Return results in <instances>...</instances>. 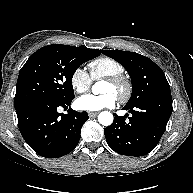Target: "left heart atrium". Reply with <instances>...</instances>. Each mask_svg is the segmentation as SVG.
I'll return each instance as SVG.
<instances>
[{
	"label": "left heart atrium",
	"mask_w": 193,
	"mask_h": 193,
	"mask_svg": "<svg viewBox=\"0 0 193 193\" xmlns=\"http://www.w3.org/2000/svg\"><path fill=\"white\" fill-rule=\"evenodd\" d=\"M117 102V97L112 93H103L100 95L86 94L75 100V106L78 110L94 112L104 108H112Z\"/></svg>",
	"instance_id": "obj_1"
}]
</instances>
